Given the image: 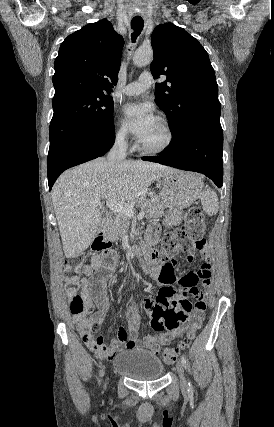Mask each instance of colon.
Masks as SVG:
<instances>
[{
    "label": "colon",
    "mask_w": 274,
    "mask_h": 427,
    "mask_svg": "<svg viewBox=\"0 0 274 427\" xmlns=\"http://www.w3.org/2000/svg\"><path fill=\"white\" fill-rule=\"evenodd\" d=\"M205 219L203 211L198 207H191L186 214V222L184 225L173 229L170 233L163 237L161 247L157 255L162 260L170 258L174 253H178L181 248H188L195 244L196 236H204L205 234ZM83 261L81 255H73L68 257L65 262V282L69 292V309L72 315H81L85 311H89L84 307L83 300L77 291L78 270ZM160 292V290H159ZM207 311H194L193 317H189V323H192V329H188L185 337L180 338V349L188 350L189 346L193 345L197 338L195 331L201 329L202 318H206ZM100 323L97 319L89 321L88 332L83 338L91 333L97 332L100 328ZM156 355L165 358L166 364H177V352L173 351L172 347H157Z\"/></svg>",
    "instance_id": "1"
}]
</instances>
